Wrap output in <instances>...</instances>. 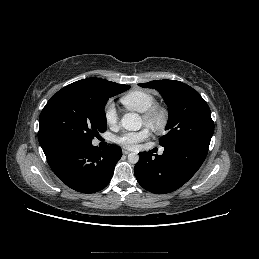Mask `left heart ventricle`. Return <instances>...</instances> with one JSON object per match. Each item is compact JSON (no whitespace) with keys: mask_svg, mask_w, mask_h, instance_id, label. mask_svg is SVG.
<instances>
[{"mask_svg":"<svg viewBox=\"0 0 259 259\" xmlns=\"http://www.w3.org/2000/svg\"><path fill=\"white\" fill-rule=\"evenodd\" d=\"M142 123H144V120H143V118H142Z\"/></svg>","mask_w":259,"mask_h":259,"instance_id":"left-heart-ventricle-1","label":"left heart ventricle"}]
</instances>
